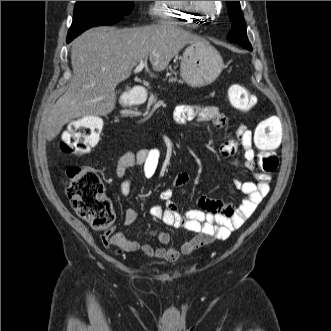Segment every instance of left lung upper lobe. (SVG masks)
<instances>
[{"label": "left lung upper lobe", "instance_id": "5c2ea615", "mask_svg": "<svg viewBox=\"0 0 331 331\" xmlns=\"http://www.w3.org/2000/svg\"><path fill=\"white\" fill-rule=\"evenodd\" d=\"M229 9V18L232 21V29L227 35V39L240 46L252 50L246 35V28L239 1H226Z\"/></svg>", "mask_w": 331, "mask_h": 331}]
</instances>
